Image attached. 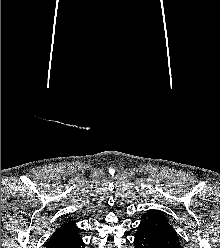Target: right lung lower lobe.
I'll use <instances>...</instances> for the list:
<instances>
[{
    "instance_id": "right-lung-lower-lobe-1",
    "label": "right lung lower lobe",
    "mask_w": 220,
    "mask_h": 248,
    "mask_svg": "<svg viewBox=\"0 0 220 248\" xmlns=\"http://www.w3.org/2000/svg\"><path fill=\"white\" fill-rule=\"evenodd\" d=\"M57 248H84V243L80 237H77L67 243L57 246Z\"/></svg>"
}]
</instances>
